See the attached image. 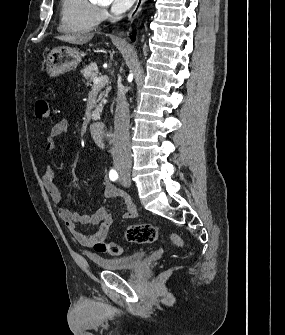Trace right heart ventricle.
I'll return each instance as SVG.
<instances>
[{
  "label": "right heart ventricle",
  "instance_id": "obj_1",
  "mask_svg": "<svg viewBox=\"0 0 285 335\" xmlns=\"http://www.w3.org/2000/svg\"><path fill=\"white\" fill-rule=\"evenodd\" d=\"M98 1H65L61 28L76 34L93 31L98 25Z\"/></svg>",
  "mask_w": 285,
  "mask_h": 335
}]
</instances>
